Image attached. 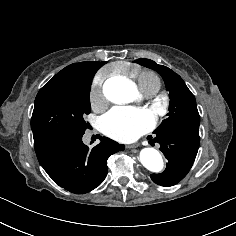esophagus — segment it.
<instances>
[{"instance_id":"obj_1","label":"esophagus","mask_w":236,"mask_h":236,"mask_svg":"<svg viewBox=\"0 0 236 236\" xmlns=\"http://www.w3.org/2000/svg\"><path fill=\"white\" fill-rule=\"evenodd\" d=\"M136 147L135 145H129L128 148H134Z\"/></svg>"}]
</instances>
